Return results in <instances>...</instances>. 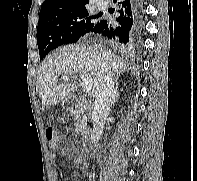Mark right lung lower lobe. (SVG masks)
<instances>
[{
  "label": "right lung lower lobe",
  "mask_w": 197,
  "mask_h": 181,
  "mask_svg": "<svg viewBox=\"0 0 197 181\" xmlns=\"http://www.w3.org/2000/svg\"><path fill=\"white\" fill-rule=\"evenodd\" d=\"M117 3V24L107 20L98 21L91 32L102 34L108 39L127 45L140 31L144 17V0H113Z\"/></svg>",
  "instance_id": "obj_1"
}]
</instances>
